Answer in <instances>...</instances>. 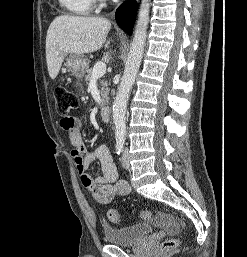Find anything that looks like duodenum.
<instances>
[{"instance_id": "obj_1", "label": "duodenum", "mask_w": 247, "mask_h": 257, "mask_svg": "<svg viewBox=\"0 0 247 257\" xmlns=\"http://www.w3.org/2000/svg\"><path fill=\"white\" fill-rule=\"evenodd\" d=\"M100 114L104 121H109L111 116V110L108 106H103L100 109Z\"/></svg>"}]
</instances>
